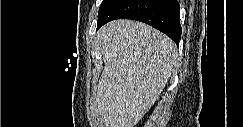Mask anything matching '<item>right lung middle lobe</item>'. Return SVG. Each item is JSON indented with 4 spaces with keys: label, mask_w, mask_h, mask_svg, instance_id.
Listing matches in <instances>:
<instances>
[{
    "label": "right lung middle lobe",
    "mask_w": 243,
    "mask_h": 127,
    "mask_svg": "<svg viewBox=\"0 0 243 127\" xmlns=\"http://www.w3.org/2000/svg\"><path fill=\"white\" fill-rule=\"evenodd\" d=\"M110 2V0H103L101 5H100V9L99 12Z\"/></svg>",
    "instance_id": "obj_1"
}]
</instances>
